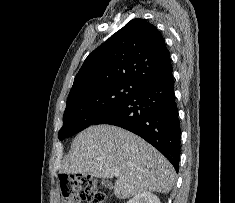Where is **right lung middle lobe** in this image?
I'll return each mask as SVG.
<instances>
[{
	"instance_id": "dd1d6c3e",
	"label": "right lung middle lobe",
	"mask_w": 235,
	"mask_h": 203,
	"mask_svg": "<svg viewBox=\"0 0 235 203\" xmlns=\"http://www.w3.org/2000/svg\"><path fill=\"white\" fill-rule=\"evenodd\" d=\"M140 83L112 80L95 83L69 93L59 140L75 135L127 100Z\"/></svg>"
}]
</instances>
